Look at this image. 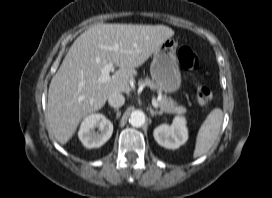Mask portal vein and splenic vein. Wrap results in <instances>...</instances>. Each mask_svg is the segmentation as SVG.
Wrapping results in <instances>:
<instances>
[{
    "label": "portal vein and splenic vein",
    "instance_id": "obj_1",
    "mask_svg": "<svg viewBox=\"0 0 272 198\" xmlns=\"http://www.w3.org/2000/svg\"><path fill=\"white\" fill-rule=\"evenodd\" d=\"M119 45L118 44H114L112 47H110V50L113 51H118L119 50ZM114 70V65L113 63H107L101 70V76L99 77V81L100 82H109L111 81V76H110V72ZM152 105L154 108H158V102L153 99L152 100Z\"/></svg>",
    "mask_w": 272,
    "mask_h": 198
}]
</instances>
